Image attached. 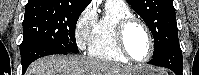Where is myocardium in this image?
<instances>
[{
	"label": "myocardium",
	"mask_w": 199,
	"mask_h": 75,
	"mask_svg": "<svg viewBox=\"0 0 199 75\" xmlns=\"http://www.w3.org/2000/svg\"><path fill=\"white\" fill-rule=\"evenodd\" d=\"M133 24H138L144 29L149 41V52L146 55V57L140 60L135 59L134 57L131 56V54L129 53L127 49L126 41H125L126 32L128 28ZM115 38H116V43L119 50L131 62L138 63V64L146 63L150 60V58L153 55L154 39H153L152 33L149 27L147 26V24L138 17L131 15V16L122 18L115 26Z\"/></svg>",
	"instance_id": "myocardium-1"
}]
</instances>
